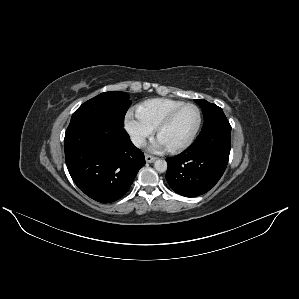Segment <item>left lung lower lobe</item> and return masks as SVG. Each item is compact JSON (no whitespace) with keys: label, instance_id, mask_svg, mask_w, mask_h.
<instances>
[{"label":"left lung lower lobe","instance_id":"0a47b994","mask_svg":"<svg viewBox=\"0 0 299 299\" xmlns=\"http://www.w3.org/2000/svg\"><path fill=\"white\" fill-rule=\"evenodd\" d=\"M231 126L215 122L202 129L194 143L182 153L166 158L170 187L186 197L202 195L223 175L230 154Z\"/></svg>","mask_w":299,"mask_h":299}]
</instances>
